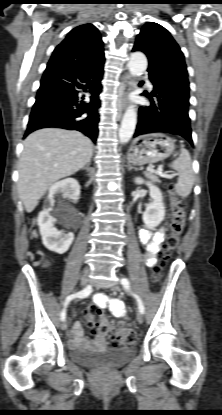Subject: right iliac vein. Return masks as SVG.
Returning <instances> with one entry per match:
<instances>
[{"label":"right iliac vein","mask_w":222,"mask_h":415,"mask_svg":"<svg viewBox=\"0 0 222 415\" xmlns=\"http://www.w3.org/2000/svg\"><path fill=\"white\" fill-rule=\"evenodd\" d=\"M88 281H89L88 276H87V275H83V276H82V278H81V281H80V286H81V287H85V286L88 284ZM67 327H68V324H67V322L64 320V321L62 322V324H61V328H62L63 330H66V329H67Z\"/></svg>","instance_id":"1"}]
</instances>
